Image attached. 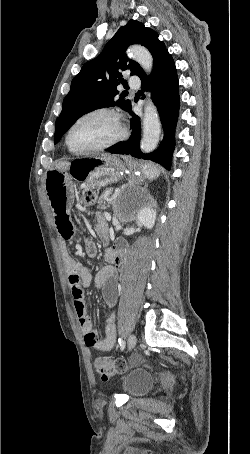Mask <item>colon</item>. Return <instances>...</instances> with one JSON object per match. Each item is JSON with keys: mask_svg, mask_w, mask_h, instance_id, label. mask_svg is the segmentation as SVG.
I'll return each instance as SVG.
<instances>
[{"mask_svg": "<svg viewBox=\"0 0 250 454\" xmlns=\"http://www.w3.org/2000/svg\"><path fill=\"white\" fill-rule=\"evenodd\" d=\"M81 200L84 207H90L96 202V194L93 190L84 189ZM126 366V362L123 359H108L103 357L95 359L96 371L101 375L103 380H107L112 375L125 370Z\"/></svg>", "mask_w": 250, "mask_h": 454, "instance_id": "5ec220e1", "label": "colon"}]
</instances>
